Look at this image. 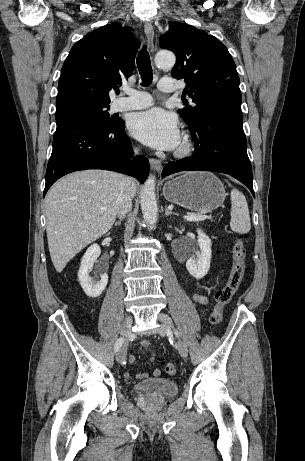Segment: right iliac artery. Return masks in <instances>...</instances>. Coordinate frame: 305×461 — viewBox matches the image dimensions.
Wrapping results in <instances>:
<instances>
[{"label":"right iliac artery","instance_id":"82829eb1","mask_svg":"<svg viewBox=\"0 0 305 461\" xmlns=\"http://www.w3.org/2000/svg\"><path fill=\"white\" fill-rule=\"evenodd\" d=\"M123 343H124V338L121 337V338L117 339V341H116V343L114 345L115 352H117L120 349V347L122 346Z\"/></svg>","mask_w":305,"mask_h":461}]
</instances>
